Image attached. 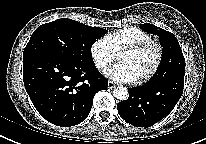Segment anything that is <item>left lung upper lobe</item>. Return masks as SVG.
<instances>
[{
	"label": "left lung upper lobe",
	"instance_id": "obj_1",
	"mask_svg": "<svg viewBox=\"0 0 206 144\" xmlns=\"http://www.w3.org/2000/svg\"><path fill=\"white\" fill-rule=\"evenodd\" d=\"M140 28L148 33L157 35L163 46V55L160 65L149 82L161 80L162 77L172 69L185 68V59L181 47L172 33L150 23L142 24Z\"/></svg>",
	"mask_w": 206,
	"mask_h": 144
}]
</instances>
